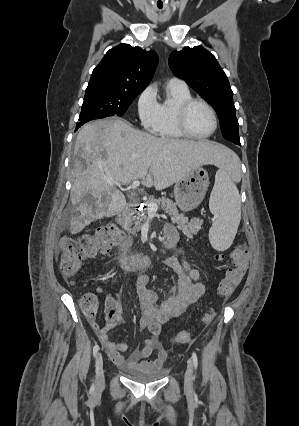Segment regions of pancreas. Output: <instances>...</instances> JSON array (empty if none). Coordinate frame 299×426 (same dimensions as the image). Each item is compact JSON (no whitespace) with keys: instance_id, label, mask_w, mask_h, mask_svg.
<instances>
[{"instance_id":"1","label":"pancreas","mask_w":299,"mask_h":426,"mask_svg":"<svg viewBox=\"0 0 299 426\" xmlns=\"http://www.w3.org/2000/svg\"><path fill=\"white\" fill-rule=\"evenodd\" d=\"M155 203L161 207L162 210L165 211L170 217L173 223L177 224L179 230L183 232L185 236L188 238H192L193 235H196L197 232L201 230V226L203 225V220L194 218L188 221V218L184 216V214L179 213L177 206L173 203L172 200L168 198H151L150 200L145 202L147 208L143 211L139 212L137 216H131L128 221V232L134 235L140 231L141 226L147 219L148 214V204ZM134 226L132 227V225Z\"/></svg>"}]
</instances>
